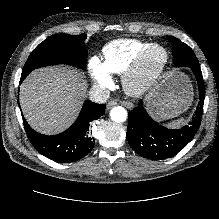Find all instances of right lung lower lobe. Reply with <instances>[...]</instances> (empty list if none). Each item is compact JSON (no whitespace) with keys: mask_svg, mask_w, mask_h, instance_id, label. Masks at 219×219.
Here are the masks:
<instances>
[{"mask_svg":"<svg viewBox=\"0 0 219 219\" xmlns=\"http://www.w3.org/2000/svg\"><path fill=\"white\" fill-rule=\"evenodd\" d=\"M22 78L20 82H22ZM105 114V105L85 102L77 120L61 134L47 136L24 127L33 146L44 156L59 162H72L85 156L94 144L87 137L89 123Z\"/></svg>","mask_w":219,"mask_h":219,"instance_id":"1","label":"right lung lower lobe"}]
</instances>
